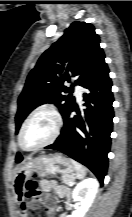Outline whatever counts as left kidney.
<instances>
[{"label": "left kidney", "instance_id": "obj_1", "mask_svg": "<svg viewBox=\"0 0 132 217\" xmlns=\"http://www.w3.org/2000/svg\"><path fill=\"white\" fill-rule=\"evenodd\" d=\"M98 187L99 183L95 178H87L77 184L72 192V197L80 206L66 217H84L95 199Z\"/></svg>", "mask_w": 132, "mask_h": 217}]
</instances>
